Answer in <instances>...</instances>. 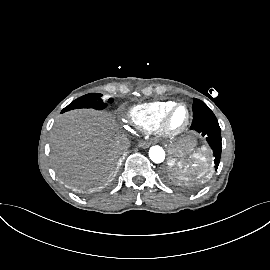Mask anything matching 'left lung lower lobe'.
Here are the masks:
<instances>
[{"label":"left lung lower lobe","instance_id":"0a47b994","mask_svg":"<svg viewBox=\"0 0 270 270\" xmlns=\"http://www.w3.org/2000/svg\"><path fill=\"white\" fill-rule=\"evenodd\" d=\"M192 130H195L202 134V136H206V140L213 151V155L215 157V170H217L218 165L220 163L221 151H222V143H221V129L216 122H206L200 124L195 127H191Z\"/></svg>","mask_w":270,"mask_h":270}]
</instances>
